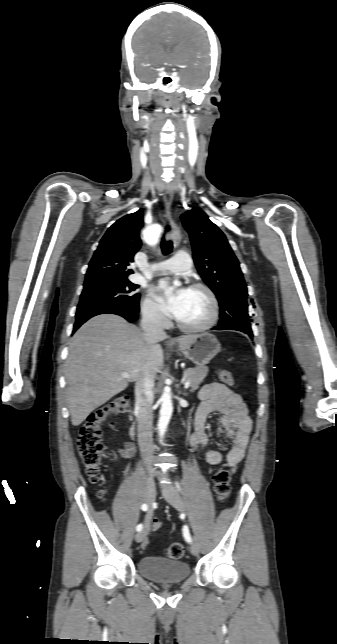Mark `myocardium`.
Wrapping results in <instances>:
<instances>
[{"label":"myocardium","instance_id":"1","mask_svg":"<svg viewBox=\"0 0 337 644\" xmlns=\"http://www.w3.org/2000/svg\"><path fill=\"white\" fill-rule=\"evenodd\" d=\"M190 290H195V291H202L203 293L206 294V296L209 299L210 306H211V312L208 320L198 326H188L180 322L177 318H175V324L176 326L184 331V332H189V333H202L205 331L210 330L212 327L216 325V323L219 320L220 316V307H219V302L217 299V296L215 295L214 291L207 285L203 283H194L189 287Z\"/></svg>","mask_w":337,"mask_h":644}]
</instances>
